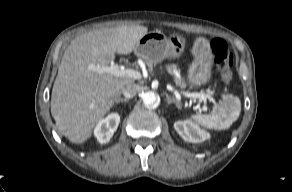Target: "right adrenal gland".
Returning <instances> with one entry per match:
<instances>
[{
    "mask_svg": "<svg viewBox=\"0 0 292 192\" xmlns=\"http://www.w3.org/2000/svg\"><path fill=\"white\" fill-rule=\"evenodd\" d=\"M128 101H129V99L119 97L118 99L115 100V103L119 104L120 102H128Z\"/></svg>",
    "mask_w": 292,
    "mask_h": 192,
    "instance_id": "2a0ac1e0",
    "label": "right adrenal gland"
}]
</instances>
